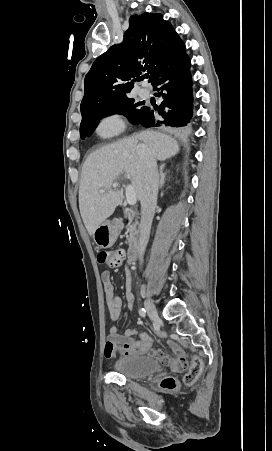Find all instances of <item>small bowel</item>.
I'll list each match as a JSON object with an SVG mask.
<instances>
[{"label":"small bowel","instance_id":"1","mask_svg":"<svg viewBox=\"0 0 272 451\" xmlns=\"http://www.w3.org/2000/svg\"><path fill=\"white\" fill-rule=\"evenodd\" d=\"M101 281L103 283L104 296L110 318L113 321H116L120 318L122 313V299L115 293L109 270L106 269L102 271ZM125 295L128 303V309L131 310L134 305V295L131 290L130 277H127ZM136 334L137 333L134 329H127L124 332H120L117 327H111L108 331L107 340L104 347L105 357L112 359L115 357L116 352H119L124 357L152 355L157 359V353L164 352L161 349L153 347L152 338L147 333H141L137 337ZM174 343L177 344L174 341L167 342L170 350L171 345ZM178 347L181 348L180 345H178ZM171 352L174 351L171 350ZM176 356L178 355L176 354ZM183 356H185V354Z\"/></svg>","mask_w":272,"mask_h":451}]
</instances>
